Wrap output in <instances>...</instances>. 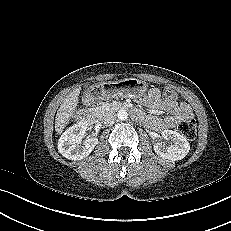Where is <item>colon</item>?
I'll return each instance as SVG.
<instances>
[{
    "label": "colon",
    "mask_w": 231,
    "mask_h": 231,
    "mask_svg": "<svg viewBox=\"0 0 231 231\" xmlns=\"http://www.w3.org/2000/svg\"><path fill=\"white\" fill-rule=\"evenodd\" d=\"M164 96L170 100L177 99V93L172 88L164 89ZM179 132L187 139H193L196 136V122L193 119L182 121L178 126Z\"/></svg>",
    "instance_id": "obj_1"
}]
</instances>
